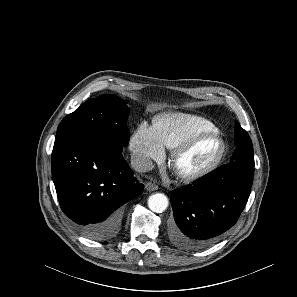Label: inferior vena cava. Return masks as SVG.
<instances>
[{
    "label": "inferior vena cava",
    "instance_id": "602c4592",
    "mask_svg": "<svg viewBox=\"0 0 297 297\" xmlns=\"http://www.w3.org/2000/svg\"><path fill=\"white\" fill-rule=\"evenodd\" d=\"M131 166L137 172H147L152 170V161L144 156L134 155L131 157Z\"/></svg>",
    "mask_w": 297,
    "mask_h": 297
}]
</instances>
